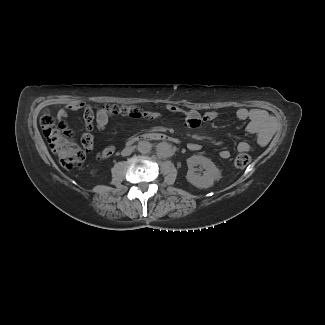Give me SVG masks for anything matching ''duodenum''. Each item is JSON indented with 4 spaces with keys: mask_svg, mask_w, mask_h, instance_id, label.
Returning <instances> with one entry per match:
<instances>
[{
    "mask_svg": "<svg viewBox=\"0 0 325 325\" xmlns=\"http://www.w3.org/2000/svg\"><path fill=\"white\" fill-rule=\"evenodd\" d=\"M140 141H157V142H164V143H177L178 140L167 135L163 132H147L141 135H137L132 137L128 144H133Z\"/></svg>",
    "mask_w": 325,
    "mask_h": 325,
    "instance_id": "1",
    "label": "duodenum"
}]
</instances>
